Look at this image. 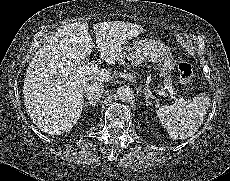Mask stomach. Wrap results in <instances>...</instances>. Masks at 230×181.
<instances>
[{
  "label": "stomach",
  "instance_id": "stomach-1",
  "mask_svg": "<svg viewBox=\"0 0 230 181\" xmlns=\"http://www.w3.org/2000/svg\"><path fill=\"white\" fill-rule=\"evenodd\" d=\"M150 54L158 55L161 73L164 76L170 75L174 69L173 60L167 53L162 52L157 48L156 43L150 39H137L133 42L132 46H124L119 61L125 65L131 64L132 66H135L140 64L141 61Z\"/></svg>",
  "mask_w": 230,
  "mask_h": 181
}]
</instances>
